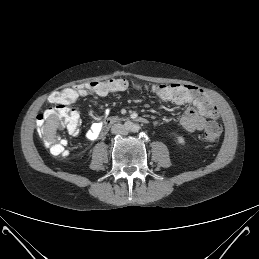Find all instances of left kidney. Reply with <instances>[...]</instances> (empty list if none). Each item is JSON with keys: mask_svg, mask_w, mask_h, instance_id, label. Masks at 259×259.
<instances>
[{"mask_svg": "<svg viewBox=\"0 0 259 259\" xmlns=\"http://www.w3.org/2000/svg\"><path fill=\"white\" fill-rule=\"evenodd\" d=\"M177 142L181 145H184L185 144V140L183 137H177Z\"/></svg>", "mask_w": 259, "mask_h": 259, "instance_id": "obj_1", "label": "left kidney"}]
</instances>
